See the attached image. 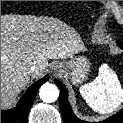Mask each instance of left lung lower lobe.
<instances>
[{
    "label": "left lung lower lobe",
    "instance_id": "0a47b994",
    "mask_svg": "<svg viewBox=\"0 0 123 123\" xmlns=\"http://www.w3.org/2000/svg\"><path fill=\"white\" fill-rule=\"evenodd\" d=\"M118 45L121 49H123V42L118 41ZM56 84L60 88V96H59V106L63 117L64 123H89L77 118L72 112L71 106L68 102V94L66 89L56 81ZM99 123H123V109L120 110L117 114L109 117L108 119L99 122Z\"/></svg>",
    "mask_w": 123,
    "mask_h": 123
}]
</instances>
